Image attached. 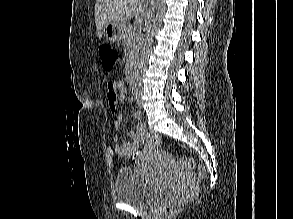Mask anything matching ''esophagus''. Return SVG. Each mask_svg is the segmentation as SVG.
<instances>
[{
    "label": "esophagus",
    "instance_id": "obj_1",
    "mask_svg": "<svg viewBox=\"0 0 293 219\" xmlns=\"http://www.w3.org/2000/svg\"><path fill=\"white\" fill-rule=\"evenodd\" d=\"M143 1H145L146 3H150L151 0H143Z\"/></svg>",
    "mask_w": 293,
    "mask_h": 219
}]
</instances>
